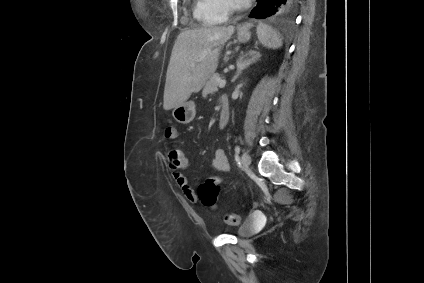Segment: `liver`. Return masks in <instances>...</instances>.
I'll return each instance as SVG.
<instances>
[{
	"label": "liver",
	"mask_w": 424,
	"mask_h": 283,
	"mask_svg": "<svg viewBox=\"0 0 424 283\" xmlns=\"http://www.w3.org/2000/svg\"><path fill=\"white\" fill-rule=\"evenodd\" d=\"M234 26L201 27L182 31L176 38L166 74L163 108L171 110L201 90L215 73L221 50ZM208 51L203 56V52Z\"/></svg>",
	"instance_id": "obj_1"
}]
</instances>
